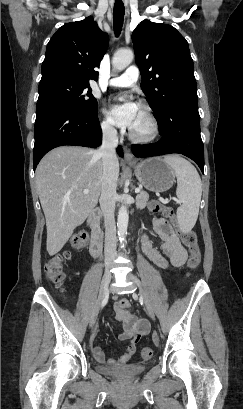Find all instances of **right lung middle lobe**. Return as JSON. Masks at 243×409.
<instances>
[{"instance_id":"dd1d6c3e","label":"right lung middle lobe","mask_w":243,"mask_h":409,"mask_svg":"<svg viewBox=\"0 0 243 409\" xmlns=\"http://www.w3.org/2000/svg\"><path fill=\"white\" fill-rule=\"evenodd\" d=\"M47 108H67L79 112L97 109L89 84L65 77H49L39 83L36 112Z\"/></svg>"}]
</instances>
